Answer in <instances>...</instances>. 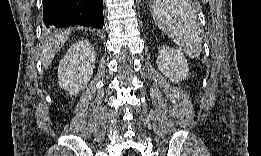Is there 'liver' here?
Masks as SVG:
<instances>
[{
	"mask_svg": "<svg viewBox=\"0 0 261 156\" xmlns=\"http://www.w3.org/2000/svg\"><path fill=\"white\" fill-rule=\"evenodd\" d=\"M69 37V32L56 33L45 40L41 49V61L46 69L51 64L56 53L64 46Z\"/></svg>",
	"mask_w": 261,
	"mask_h": 156,
	"instance_id": "liver-1",
	"label": "liver"
}]
</instances>
